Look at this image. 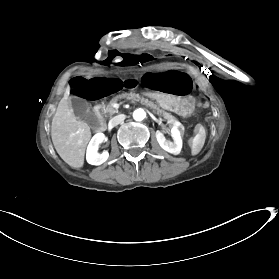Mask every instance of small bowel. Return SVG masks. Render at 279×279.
Wrapping results in <instances>:
<instances>
[{
	"label": "small bowel",
	"instance_id": "obj_1",
	"mask_svg": "<svg viewBox=\"0 0 279 279\" xmlns=\"http://www.w3.org/2000/svg\"><path fill=\"white\" fill-rule=\"evenodd\" d=\"M141 83L148 92L175 96L188 93L191 86L190 77L178 70L147 73L142 76Z\"/></svg>",
	"mask_w": 279,
	"mask_h": 279
}]
</instances>
